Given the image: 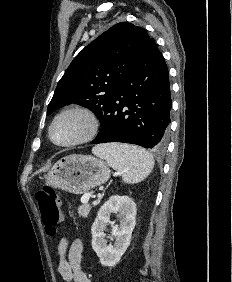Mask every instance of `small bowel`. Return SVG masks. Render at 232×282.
Returning <instances> with one entry per match:
<instances>
[{"mask_svg": "<svg viewBox=\"0 0 232 282\" xmlns=\"http://www.w3.org/2000/svg\"><path fill=\"white\" fill-rule=\"evenodd\" d=\"M58 271L64 282H92L82 270L83 243L74 239L71 243L62 238L58 243Z\"/></svg>", "mask_w": 232, "mask_h": 282, "instance_id": "obj_1", "label": "small bowel"}]
</instances>
